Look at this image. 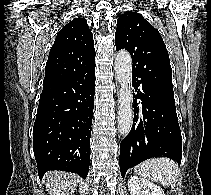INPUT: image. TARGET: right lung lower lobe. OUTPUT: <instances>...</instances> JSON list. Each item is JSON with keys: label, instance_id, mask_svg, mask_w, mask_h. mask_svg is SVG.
I'll return each instance as SVG.
<instances>
[{"label": "right lung lower lobe", "instance_id": "1", "mask_svg": "<svg viewBox=\"0 0 211 195\" xmlns=\"http://www.w3.org/2000/svg\"><path fill=\"white\" fill-rule=\"evenodd\" d=\"M95 65L43 84L33 128V150L41 179L49 170L86 178L94 108Z\"/></svg>", "mask_w": 211, "mask_h": 195}]
</instances>
